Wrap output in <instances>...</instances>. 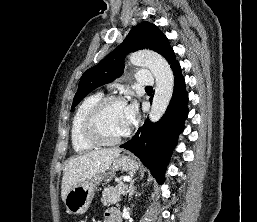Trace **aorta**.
I'll list each match as a JSON object with an SVG mask.
<instances>
[{"label": "aorta", "instance_id": "obj_1", "mask_svg": "<svg viewBox=\"0 0 257 222\" xmlns=\"http://www.w3.org/2000/svg\"><path fill=\"white\" fill-rule=\"evenodd\" d=\"M130 62L137 67H148L155 77L156 88L149 119L156 122L165 113L173 94L174 76L170 65L162 56L145 50L131 54Z\"/></svg>", "mask_w": 257, "mask_h": 222}]
</instances>
